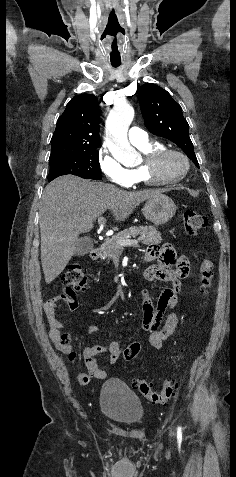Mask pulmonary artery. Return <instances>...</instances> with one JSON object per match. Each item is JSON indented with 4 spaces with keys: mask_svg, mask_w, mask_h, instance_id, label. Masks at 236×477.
<instances>
[{
    "mask_svg": "<svg viewBox=\"0 0 236 477\" xmlns=\"http://www.w3.org/2000/svg\"><path fill=\"white\" fill-rule=\"evenodd\" d=\"M128 138L135 146L145 144L149 141L147 132L138 127H132L129 129Z\"/></svg>",
    "mask_w": 236,
    "mask_h": 477,
    "instance_id": "pulmonary-artery-1",
    "label": "pulmonary artery"
}]
</instances>
